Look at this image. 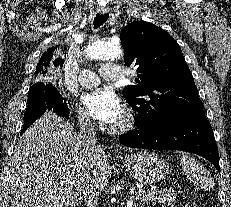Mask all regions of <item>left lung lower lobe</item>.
<instances>
[{"instance_id":"1","label":"left lung lower lobe","mask_w":231,"mask_h":207,"mask_svg":"<svg viewBox=\"0 0 231 207\" xmlns=\"http://www.w3.org/2000/svg\"><path fill=\"white\" fill-rule=\"evenodd\" d=\"M119 138L123 145L132 148L181 150L198 154L220 172L214 133L203 110L181 114L156 130L137 128Z\"/></svg>"}]
</instances>
